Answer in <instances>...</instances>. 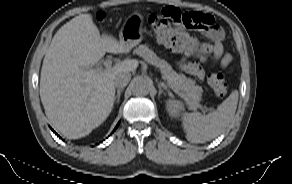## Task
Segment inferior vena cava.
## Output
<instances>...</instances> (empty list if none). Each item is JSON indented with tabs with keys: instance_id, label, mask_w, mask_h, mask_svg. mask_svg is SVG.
<instances>
[{
	"instance_id": "inferior-vena-cava-1",
	"label": "inferior vena cava",
	"mask_w": 292,
	"mask_h": 184,
	"mask_svg": "<svg viewBox=\"0 0 292 184\" xmlns=\"http://www.w3.org/2000/svg\"><path fill=\"white\" fill-rule=\"evenodd\" d=\"M131 79V74L128 72L119 73L114 79V85L116 88H124L127 86Z\"/></svg>"
}]
</instances>
